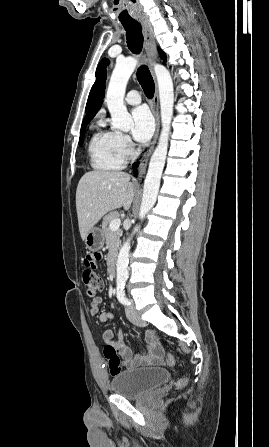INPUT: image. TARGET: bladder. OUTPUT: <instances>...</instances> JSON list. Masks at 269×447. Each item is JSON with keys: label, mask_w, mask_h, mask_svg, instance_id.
Listing matches in <instances>:
<instances>
[{"label": "bladder", "mask_w": 269, "mask_h": 447, "mask_svg": "<svg viewBox=\"0 0 269 447\" xmlns=\"http://www.w3.org/2000/svg\"><path fill=\"white\" fill-rule=\"evenodd\" d=\"M169 379L170 372L166 368H137L115 372L110 387L112 394L137 398L145 396Z\"/></svg>", "instance_id": "bladder-1"}]
</instances>
